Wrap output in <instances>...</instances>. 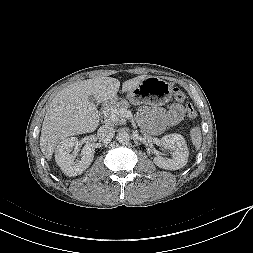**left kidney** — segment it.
Masks as SVG:
<instances>
[{
  "mask_svg": "<svg viewBox=\"0 0 253 253\" xmlns=\"http://www.w3.org/2000/svg\"><path fill=\"white\" fill-rule=\"evenodd\" d=\"M161 142L166 147L173 150L172 158H164L162 156H155L153 162L162 169L178 170L183 168L188 161V148L185 139L180 134H169L162 137Z\"/></svg>",
  "mask_w": 253,
  "mask_h": 253,
  "instance_id": "left-kidney-1",
  "label": "left kidney"
}]
</instances>
